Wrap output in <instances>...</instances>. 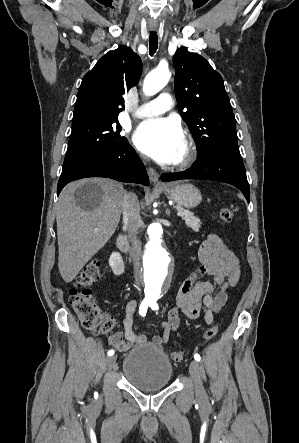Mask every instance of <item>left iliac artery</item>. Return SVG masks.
Wrapping results in <instances>:
<instances>
[{"label": "left iliac artery", "instance_id": "left-iliac-artery-1", "mask_svg": "<svg viewBox=\"0 0 299 443\" xmlns=\"http://www.w3.org/2000/svg\"><path fill=\"white\" fill-rule=\"evenodd\" d=\"M149 306L151 307V309L152 310H158L159 309V306H158V304H157V299H151L150 300V303H149ZM194 359L196 360V361H198V362H200V360H201V357H200V355L198 354V353H195L194 354Z\"/></svg>", "mask_w": 299, "mask_h": 443}]
</instances>
